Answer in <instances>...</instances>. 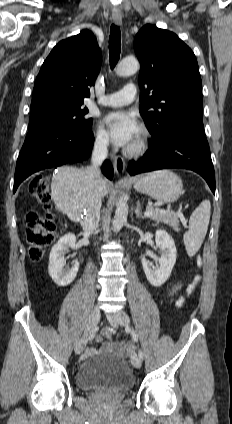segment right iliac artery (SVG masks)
I'll list each match as a JSON object with an SVG mask.
<instances>
[{"instance_id":"1","label":"right iliac artery","mask_w":232,"mask_h":424,"mask_svg":"<svg viewBox=\"0 0 232 424\" xmlns=\"http://www.w3.org/2000/svg\"><path fill=\"white\" fill-rule=\"evenodd\" d=\"M95 331H96V329L90 334L88 340H92L94 338L95 333H96Z\"/></svg>"}]
</instances>
